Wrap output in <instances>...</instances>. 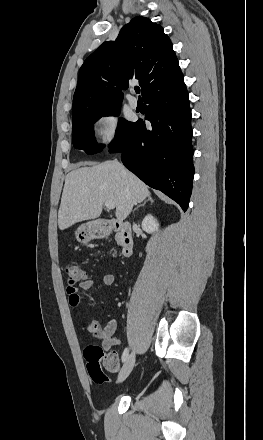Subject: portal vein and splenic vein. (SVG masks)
Listing matches in <instances>:
<instances>
[{
  "label": "portal vein and splenic vein",
  "instance_id": "portal-vein-and-splenic-vein-1",
  "mask_svg": "<svg viewBox=\"0 0 263 440\" xmlns=\"http://www.w3.org/2000/svg\"><path fill=\"white\" fill-rule=\"evenodd\" d=\"M105 206L107 209H114L115 208V204L112 201H105Z\"/></svg>",
  "mask_w": 263,
  "mask_h": 440
}]
</instances>
